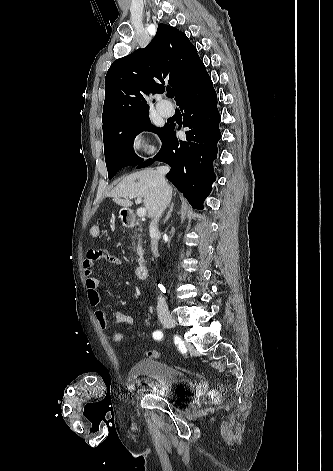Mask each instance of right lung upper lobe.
Listing matches in <instances>:
<instances>
[{
  "label": "right lung upper lobe",
  "instance_id": "obj_1",
  "mask_svg": "<svg viewBox=\"0 0 333 471\" xmlns=\"http://www.w3.org/2000/svg\"><path fill=\"white\" fill-rule=\"evenodd\" d=\"M204 73L197 49L186 35L175 27L159 24L146 48L117 59L110 66L105 77L103 131L149 111L142 96L149 92V87L152 93H163L167 81V89H175L178 102Z\"/></svg>",
  "mask_w": 333,
  "mask_h": 471
}]
</instances>
